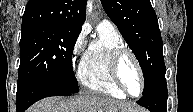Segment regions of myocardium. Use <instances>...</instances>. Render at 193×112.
Masks as SVG:
<instances>
[{
  "mask_svg": "<svg viewBox=\"0 0 193 112\" xmlns=\"http://www.w3.org/2000/svg\"><path fill=\"white\" fill-rule=\"evenodd\" d=\"M130 57L132 61L134 62L139 78H140V91L137 95L131 94L127 87L125 86L121 73H120V66L124 58ZM109 70H110V75L115 83V85L118 87L119 90H121L126 96L129 97H138L140 96L144 89H145V77L144 73L141 67V64L135 55V53L129 49L126 46L118 47L113 52L111 53L110 56V61H109Z\"/></svg>",
  "mask_w": 193,
  "mask_h": 112,
  "instance_id": "f54148a6",
  "label": "myocardium"
}]
</instances>
